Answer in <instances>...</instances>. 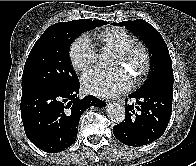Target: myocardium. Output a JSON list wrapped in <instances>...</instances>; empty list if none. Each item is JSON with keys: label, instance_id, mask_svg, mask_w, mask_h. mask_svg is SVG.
Segmentation results:
<instances>
[{"label": "myocardium", "instance_id": "myocardium-1", "mask_svg": "<svg viewBox=\"0 0 196 166\" xmlns=\"http://www.w3.org/2000/svg\"><path fill=\"white\" fill-rule=\"evenodd\" d=\"M118 56L124 64L135 68L134 72L138 78H142L148 73L151 57L143 43L133 42L126 49L119 51Z\"/></svg>", "mask_w": 196, "mask_h": 166}]
</instances>
